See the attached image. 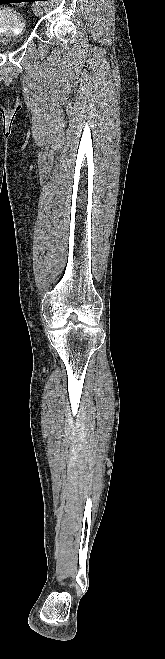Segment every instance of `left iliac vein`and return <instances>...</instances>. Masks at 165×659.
Returning <instances> with one entry per match:
<instances>
[{"label": "left iliac vein", "instance_id": "obj_1", "mask_svg": "<svg viewBox=\"0 0 165 659\" xmlns=\"http://www.w3.org/2000/svg\"><path fill=\"white\" fill-rule=\"evenodd\" d=\"M33 12L36 16H41L43 14L42 5L40 3L34 4Z\"/></svg>", "mask_w": 165, "mask_h": 659}]
</instances>
